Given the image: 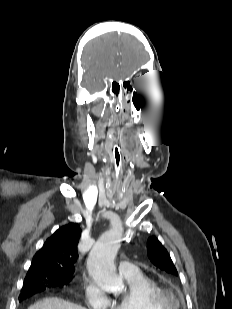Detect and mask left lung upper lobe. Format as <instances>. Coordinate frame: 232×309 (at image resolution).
I'll return each mask as SVG.
<instances>
[{
  "instance_id": "obj_1",
  "label": "left lung upper lobe",
  "mask_w": 232,
  "mask_h": 309,
  "mask_svg": "<svg viewBox=\"0 0 232 309\" xmlns=\"http://www.w3.org/2000/svg\"><path fill=\"white\" fill-rule=\"evenodd\" d=\"M148 256L151 262L161 270L168 273L178 275V272L168 254L167 250L158 241L157 238L151 237L148 239Z\"/></svg>"
}]
</instances>
